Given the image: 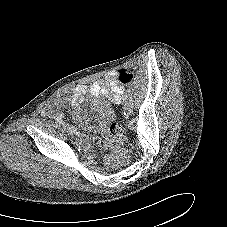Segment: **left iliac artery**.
Here are the masks:
<instances>
[{
  "instance_id": "1",
  "label": "left iliac artery",
  "mask_w": 227,
  "mask_h": 227,
  "mask_svg": "<svg viewBox=\"0 0 227 227\" xmlns=\"http://www.w3.org/2000/svg\"><path fill=\"white\" fill-rule=\"evenodd\" d=\"M122 99H123L124 103L127 102V96H126V95H123V96H122Z\"/></svg>"
}]
</instances>
